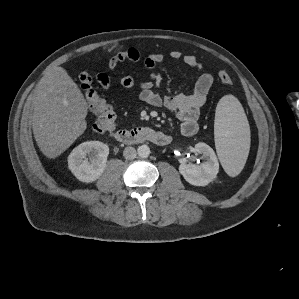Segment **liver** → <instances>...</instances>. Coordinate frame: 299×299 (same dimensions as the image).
I'll return each instance as SVG.
<instances>
[{
	"instance_id": "1",
	"label": "liver",
	"mask_w": 299,
	"mask_h": 299,
	"mask_svg": "<svg viewBox=\"0 0 299 299\" xmlns=\"http://www.w3.org/2000/svg\"><path fill=\"white\" fill-rule=\"evenodd\" d=\"M87 109L81 90L66 70L48 67L38 83L32 115L34 138L47 158L61 155L85 132Z\"/></svg>"
}]
</instances>
